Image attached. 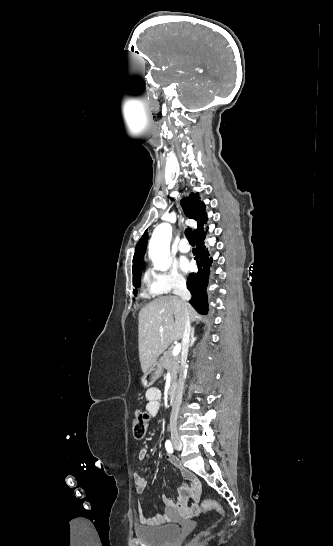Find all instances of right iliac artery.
<instances>
[{"label": "right iliac artery", "mask_w": 333, "mask_h": 546, "mask_svg": "<svg viewBox=\"0 0 333 546\" xmlns=\"http://www.w3.org/2000/svg\"><path fill=\"white\" fill-rule=\"evenodd\" d=\"M165 448H166L167 452L173 453V447H172V444H171L170 440L166 441Z\"/></svg>", "instance_id": "1"}]
</instances>
